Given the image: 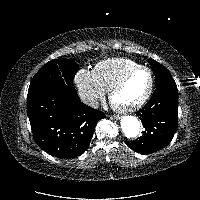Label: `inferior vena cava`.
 Masks as SVG:
<instances>
[{
    "label": "inferior vena cava",
    "mask_w": 200,
    "mask_h": 200,
    "mask_svg": "<svg viewBox=\"0 0 200 200\" xmlns=\"http://www.w3.org/2000/svg\"><path fill=\"white\" fill-rule=\"evenodd\" d=\"M81 100L83 103H85L86 105L90 107L97 108L99 106V102L97 98L93 96H82Z\"/></svg>",
    "instance_id": "inferior-vena-cava-1"
}]
</instances>
